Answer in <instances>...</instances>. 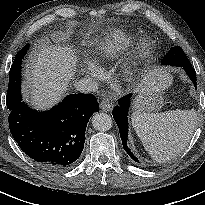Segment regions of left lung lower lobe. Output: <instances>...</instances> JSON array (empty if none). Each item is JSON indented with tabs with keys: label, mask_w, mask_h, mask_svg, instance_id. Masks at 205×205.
Returning a JSON list of instances; mask_svg holds the SVG:
<instances>
[{
	"label": "left lung lower lobe",
	"mask_w": 205,
	"mask_h": 205,
	"mask_svg": "<svg viewBox=\"0 0 205 205\" xmlns=\"http://www.w3.org/2000/svg\"><path fill=\"white\" fill-rule=\"evenodd\" d=\"M179 67H182L186 71L187 75L193 81V84L196 87L195 69L191 65L179 66ZM131 96H132V94H129V95L121 98L118 101L119 105L113 109V117H114V119L117 123V126L119 128L120 137H121L122 144H123L125 151L134 161L139 162L127 146V139H128L127 138L128 137V118H127V115H128V110H129V106H130Z\"/></svg>",
	"instance_id": "1"
}]
</instances>
